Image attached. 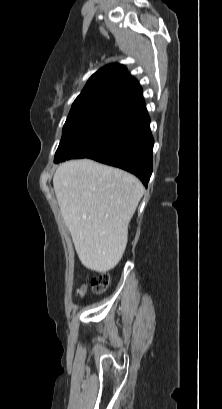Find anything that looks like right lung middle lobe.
Wrapping results in <instances>:
<instances>
[{
    "mask_svg": "<svg viewBox=\"0 0 222 409\" xmlns=\"http://www.w3.org/2000/svg\"><path fill=\"white\" fill-rule=\"evenodd\" d=\"M125 110L119 105L71 109L54 162L84 158L92 153L101 145L113 123Z\"/></svg>",
    "mask_w": 222,
    "mask_h": 409,
    "instance_id": "right-lung-middle-lobe-1",
    "label": "right lung middle lobe"
}]
</instances>
